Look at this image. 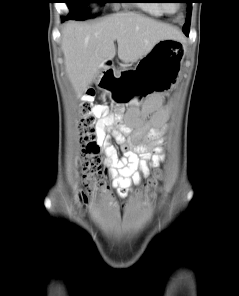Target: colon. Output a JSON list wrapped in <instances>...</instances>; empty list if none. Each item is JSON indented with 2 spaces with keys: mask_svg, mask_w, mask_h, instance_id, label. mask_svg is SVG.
<instances>
[{
  "mask_svg": "<svg viewBox=\"0 0 239 296\" xmlns=\"http://www.w3.org/2000/svg\"><path fill=\"white\" fill-rule=\"evenodd\" d=\"M93 90L89 89L80 106L81 118L78 123L80 143L82 144L83 174L85 179V192L83 198L88 195L101 194L108 190L103 180V169L99 156L100 146L96 132V107L92 104ZM156 181H150L148 186L156 185Z\"/></svg>",
  "mask_w": 239,
  "mask_h": 296,
  "instance_id": "obj_1",
  "label": "colon"
}]
</instances>
